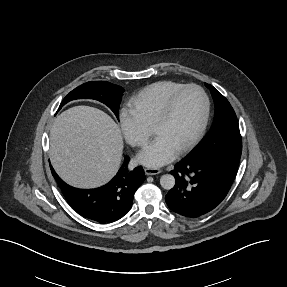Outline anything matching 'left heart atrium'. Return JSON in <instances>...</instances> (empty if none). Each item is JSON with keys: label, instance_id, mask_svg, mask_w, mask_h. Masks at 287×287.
Instances as JSON below:
<instances>
[{"label": "left heart atrium", "instance_id": "obj_1", "mask_svg": "<svg viewBox=\"0 0 287 287\" xmlns=\"http://www.w3.org/2000/svg\"><path fill=\"white\" fill-rule=\"evenodd\" d=\"M178 150L166 139L156 136L138 155V160L150 167L162 166L175 158Z\"/></svg>", "mask_w": 287, "mask_h": 287}]
</instances>
